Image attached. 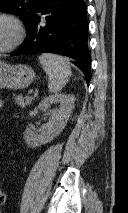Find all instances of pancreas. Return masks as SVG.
I'll return each instance as SVG.
<instances>
[{
	"label": "pancreas",
	"instance_id": "cf45deb5",
	"mask_svg": "<svg viewBox=\"0 0 128 213\" xmlns=\"http://www.w3.org/2000/svg\"><path fill=\"white\" fill-rule=\"evenodd\" d=\"M15 102L17 105L21 106L22 108H25L26 106L30 105L32 102V98L29 97H22L21 95L14 96Z\"/></svg>",
	"mask_w": 128,
	"mask_h": 213
}]
</instances>
